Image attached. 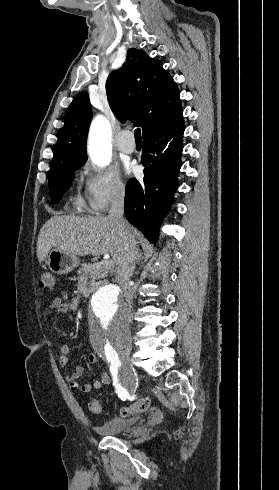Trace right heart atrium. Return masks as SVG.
<instances>
[{
  "label": "right heart atrium",
  "mask_w": 279,
  "mask_h": 490,
  "mask_svg": "<svg viewBox=\"0 0 279 490\" xmlns=\"http://www.w3.org/2000/svg\"><path fill=\"white\" fill-rule=\"evenodd\" d=\"M79 179L85 194V211L91 216L104 214L110 204L122 200L126 194L125 183L113 169L98 170L87 164L80 171Z\"/></svg>",
  "instance_id": "1"
}]
</instances>
